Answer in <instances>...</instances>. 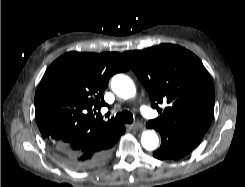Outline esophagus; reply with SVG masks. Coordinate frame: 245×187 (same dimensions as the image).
<instances>
[{
	"instance_id": "34e87169",
	"label": "esophagus",
	"mask_w": 245,
	"mask_h": 187,
	"mask_svg": "<svg viewBox=\"0 0 245 187\" xmlns=\"http://www.w3.org/2000/svg\"><path fill=\"white\" fill-rule=\"evenodd\" d=\"M128 128L131 130H139L143 128V125L141 123H135L130 125Z\"/></svg>"
}]
</instances>
